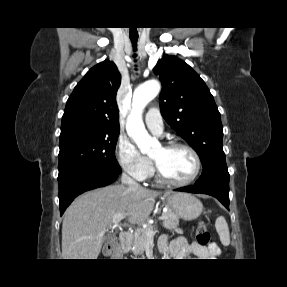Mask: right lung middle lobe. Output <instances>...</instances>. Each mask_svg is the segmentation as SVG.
I'll use <instances>...</instances> for the list:
<instances>
[{"mask_svg":"<svg viewBox=\"0 0 287 287\" xmlns=\"http://www.w3.org/2000/svg\"><path fill=\"white\" fill-rule=\"evenodd\" d=\"M119 129H101L77 124L61 130L59 174L76 168H94L121 173L115 158Z\"/></svg>","mask_w":287,"mask_h":287,"instance_id":"obj_1","label":"right lung middle lobe"}]
</instances>
